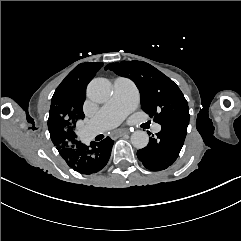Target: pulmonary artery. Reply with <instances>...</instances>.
Instances as JSON below:
<instances>
[{
  "instance_id": "e3ab8cb5",
  "label": "pulmonary artery",
  "mask_w": 241,
  "mask_h": 241,
  "mask_svg": "<svg viewBox=\"0 0 241 241\" xmlns=\"http://www.w3.org/2000/svg\"><path fill=\"white\" fill-rule=\"evenodd\" d=\"M137 100L138 95L132 87V82L125 79L123 83H120L119 79H117L114 83V95L101 107L100 114L90 119V128L101 132L110 130L119 123L120 118L133 111ZM161 128V125L156 123L151 127V130L158 132Z\"/></svg>"
}]
</instances>
